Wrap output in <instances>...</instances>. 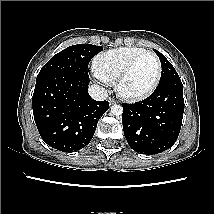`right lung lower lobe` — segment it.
<instances>
[{
	"label": "right lung lower lobe",
	"instance_id": "98d812e1",
	"mask_svg": "<svg viewBox=\"0 0 214 214\" xmlns=\"http://www.w3.org/2000/svg\"><path fill=\"white\" fill-rule=\"evenodd\" d=\"M89 82L67 74H53L36 81L33 115L40 136L49 146L73 152L91 141L109 103L90 97Z\"/></svg>",
	"mask_w": 214,
	"mask_h": 214
}]
</instances>
